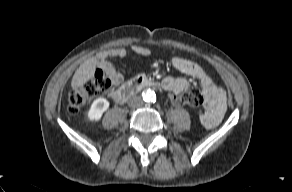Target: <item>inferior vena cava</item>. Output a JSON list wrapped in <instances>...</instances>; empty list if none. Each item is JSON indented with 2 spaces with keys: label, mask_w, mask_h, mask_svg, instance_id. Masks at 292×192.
<instances>
[{
  "label": "inferior vena cava",
  "mask_w": 292,
  "mask_h": 192,
  "mask_svg": "<svg viewBox=\"0 0 292 192\" xmlns=\"http://www.w3.org/2000/svg\"><path fill=\"white\" fill-rule=\"evenodd\" d=\"M128 104L133 108H138L143 105V100L139 96H133L129 99Z\"/></svg>",
  "instance_id": "obj_1"
}]
</instances>
